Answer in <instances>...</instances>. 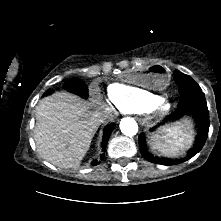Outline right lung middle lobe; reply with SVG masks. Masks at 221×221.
Instances as JSON below:
<instances>
[{
  "mask_svg": "<svg viewBox=\"0 0 221 221\" xmlns=\"http://www.w3.org/2000/svg\"><path fill=\"white\" fill-rule=\"evenodd\" d=\"M67 88L74 92L79 94L82 97H86L87 96V87L84 84L83 81L78 80V79H72L71 81L68 82L67 84ZM49 91L46 92V94H48Z\"/></svg>",
  "mask_w": 221,
  "mask_h": 221,
  "instance_id": "dd1d6c3e",
  "label": "right lung middle lobe"
}]
</instances>
